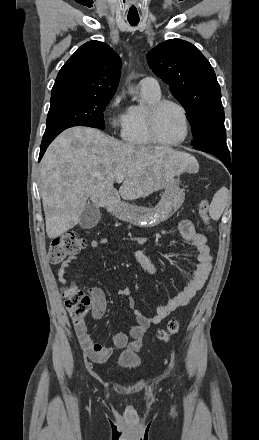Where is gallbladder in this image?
Listing matches in <instances>:
<instances>
[{
  "instance_id": "obj_1",
  "label": "gallbladder",
  "mask_w": 259,
  "mask_h": 440,
  "mask_svg": "<svg viewBox=\"0 0 259 440\" xmlns=\"http://www.w3.org/2000/svg\"><path fill=\"white\" fill-rule=\"evenodd\" d=\"M101 219V212L93 203L86 204L79 221L82 229H91L95 227Z\"/></svg>"
}]
</instances>
